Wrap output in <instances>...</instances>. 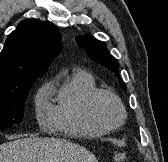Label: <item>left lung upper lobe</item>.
<instances>
[{
  "label": "left lung upper lobe",
  "mask_w": 168,
  "mask_h": 162,
  "mask_svg": "<svg viewBox=\"0 0 168 162\" xmlns=\"http://www.w3.org/2000/svg\"><path fill=\"white\" fill-rule=\"evenodd\" d=\"M76 42L80 48L86 51L87 55L96 63L111 70L118 77L121 86L126 90V85L119 76V64L117 60L109 53L106 45L93 38L90 35L77 36Z\"/></svg>",
  "instance_id": "obj_1"
}]
</instances>
